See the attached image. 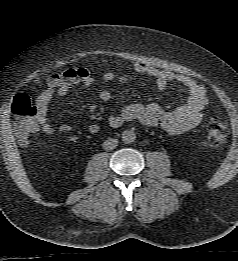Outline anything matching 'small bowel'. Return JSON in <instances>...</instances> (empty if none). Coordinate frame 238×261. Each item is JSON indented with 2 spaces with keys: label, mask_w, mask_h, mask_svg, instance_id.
Segmentation results:
<instances>
[{
  "label": "small bowel",
  "mask_w": 238,
  "mask_h": 261,
  "mask_svg": "<svg viewBox=\"0 0 238 261\" xmlns=\"http://www.w3.org/2000/svg\"><path fill=\"white\" fill-rule=\"evenodd\" d=\"M82 70L83 74L75 77L53 76L47 88L38 95L36 99L37 122L45 134L53 135L55 133L47 116L48 107L53 97L67 95L76 84L83 83L86 86H91L94 83L90 70L87 68H82ZM134 71L152 77L159 90H163L170 82H177L187 90L189 97L185 104L173 111H165L157 103L130 104L124 107L119 114L109 117L108 121L112 127L117 128L124 123L138 121L148 127L160 128L165 133L174 136L191 130L202 121L205 107L208 104V97L203 85L189 76L158 69L144 62L135 63ZM128 78L129 75L125 74L119 78V81L125 82ZM103 80L106 83H112L115 80L114 73L110 71L104 73ZM96 97L99 101L106 103L111 98V92L108 88H102ZM71 130L72 126L68 123L59 126L61 133H69ZM99 130L100 126L97 123H91L88 126V132L91 134H96Z\"/></svg>",
  "instance_id": "c3829d8e"
}]
</instances>
